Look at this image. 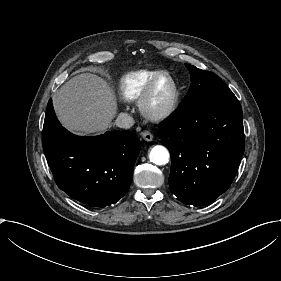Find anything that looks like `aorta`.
<instances>
[{
    "mask_svg": "<svg viewBox=\"0 0 281 281\" xmlns=\"http://www.w3.org/2000/svg\"><path fill=\"white\" fill-rule=\"evenodd\" d=\"M169 158V151L162 145L154 146L149 153L150 161L159 166L167 164L169 162Z\"/></svg>",
    "mask_w": 281,
    "mask_h": 281,
    "instance_id": "762f6f07",
    "label": "aorta"
}]
</instances>
